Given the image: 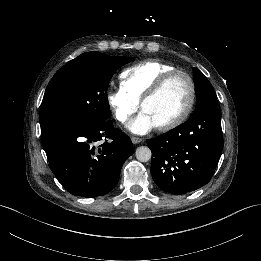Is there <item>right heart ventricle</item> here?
Instances as JSON below:
<instances>
[{"label":"right heart ventricle","instance_id":"e07e8e85","mask_svg":"<svg viewBox=\"0 0 261 261\" xmlns=\"http://www.w3.org/2000/svg\"><path fill=\"white\" fill-rule=\"evenodd\" d=\"M175 69L171 64L159 59L141 61L122 71L120 88L135 101L141 102L161 76Z\"/></svg>","mask_w":261,"mask_h":261}]
</instances>
